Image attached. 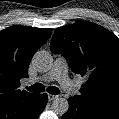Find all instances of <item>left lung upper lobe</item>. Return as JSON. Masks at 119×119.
<instances>
[{
  "label": "left lung upper lobe",
  "instance_id": "1",
  "mask_svg": "<svg viewBox=\"0 0 119 119\" xmlns=\"http://www.w3.org/2000/svg\"><path fill=\"white\" fill-rule=\"evenodd\" d=\"M50 49L62 54L74 73L87 78L74 97L119 114V39L114 34L97 24L79 22L57 28Z\"/></svg>",
  "mask_w": 119,
  "mask_h": 119
}]
</instances>
